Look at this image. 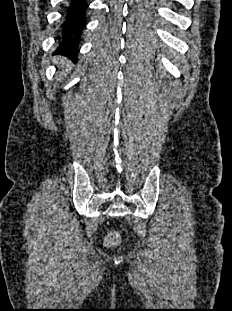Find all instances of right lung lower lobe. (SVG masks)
<instances>
[{
    "mask_svg": "<svg viewBox=\"0 0 232 311\" xmlns=\"http://www.w3.org/2000/svg\"><path fill=\"white\" fill-rule=\"evenodd\" d=\"M87 3L85 0H69L64 9L60 44L57 53L77 57L78 44L82 30L86 25Z\"/></svg>",
    "mask_w": 232,
    "mask_h": 311,
    "instance_id": "obj_1",
    "label": "right lung lower lobe"
}]
</instances>
